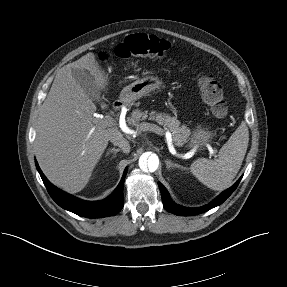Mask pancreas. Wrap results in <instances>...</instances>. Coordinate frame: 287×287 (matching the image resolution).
Masks as SVG:
<instances>
[{
	"instance_id": "pancreas-1",
	"label": "pancreas",
	"mask_w": 287,
	"mask_h": 287,
	"mask_svg": "<svg viewBox=\"0 0 287 287\" xmlns=\"http://www.w3.org/2000/svg\"><path fill=\"white\" fill-rule=\"evenodd\" d=\"M146 119L154 120L159 125L163 126L165 129L170 130L172 133L173 141L177 146H181L184 142H186L187 138L190 135V130L185 125H181L180 121L177 120L176 117H173L167 113H161L156 111H151L150 113H148V111L142 112L139 109H135L132 112L130 124L134 125L139 130H143L141 129V126L143 124L141 123V121H144Z\"/></svg>"
}]
</instances>
